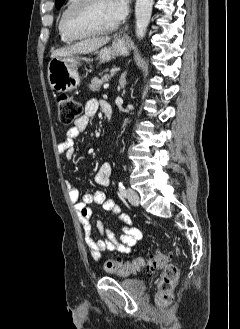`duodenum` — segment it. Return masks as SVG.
I'll use <instances>...</instances> for the list:
<instances>
[{"instance_id":"duodenum-1","label":"duodenum","mask_w":240,"mask_h":329,"mask_svg":"<svg viewBox=\"0 0 240 329\" xmlns=\"http://www.w3.org/2000/svg\"><path fill=\"white\" fill-rule=\"evenodd\" d=\"M102 111L105 114V116L107 117V119L110 120L112 118L113 110H112V106L110 105V103L103 101Z\"/></svg>"}]
</instances>
